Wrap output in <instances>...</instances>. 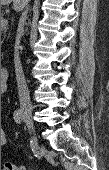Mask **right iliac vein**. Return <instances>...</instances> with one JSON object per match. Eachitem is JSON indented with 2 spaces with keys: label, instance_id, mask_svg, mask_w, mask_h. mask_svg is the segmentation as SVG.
<instances>
[{
  "label": "right iliac vein",
  "instance_id": "1",
  "mask_svg": "<svg viewBox=\"0 0 109 170\" xmlns=\"http://www.w3.org/2000/svg\"><path fill=\"white\" fill-rule=\"evenodd\" d=\"M22 113H23V118H24L25 122L28 124V126H29V128L31 130L32 139H33V141L35 143V146L38 147L39 144H38V139H37V136H36L35 126H34L31 111L28 110V109H24L22 111Z\"/></svg>",
  "mask_w": 109,
  "mask_h": 170
}]
</instances>
